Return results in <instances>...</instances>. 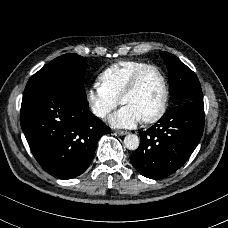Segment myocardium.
<instances>
[{
    "instance_id": "f54148a6",
    "label": "myocardium",
    "mask_w": 228,
    "mask_h": 228,
    "mask_svg": "<svg viewBox=\"0 0 228 228\" xmlns=\"http://www.w3.org/2000/svg\"><path fill=\"white\" fill-rule=\"evenodd\" d=\"M151 70H155L160 75V77L163 81L164 101H163L161 108L159 109V111L156 114L142 119V121L145 123H154V122L161 120L168 110L169 103H170V87H169V82H168L167 76L164 73V71L158 65H155V64H149V65L145 66L144 68L140 69L133 76L132 80L130 81L129 85L126 87V89L124 90V92L122 93L121 98H120L121 104H124L125 99L137 90L142 78L145 76V74H147Z\"/></svg>"
}]
</instances>
